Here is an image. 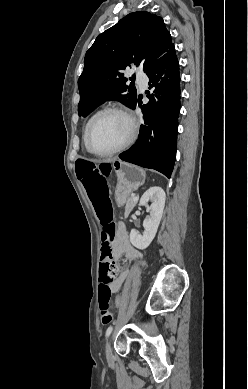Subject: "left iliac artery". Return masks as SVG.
<instances>
[{"mask_svg": "<svg viewBox=\"0 0 248 389\" xmlns=\"http://www.w3.org/2000/svg\"><path fill=\"white\" fill-rule=\"evenodd\" d=\"M112 330H113V327H112V326H109V327L107 328V330H106V334H105V336H106V339H107V338L110 336V334H111Z\"/></svg>", "mask_w": 248, "mask_h": 389, "instance_id": "44dca946", "label": "left iliac artery"}]
</instances>
